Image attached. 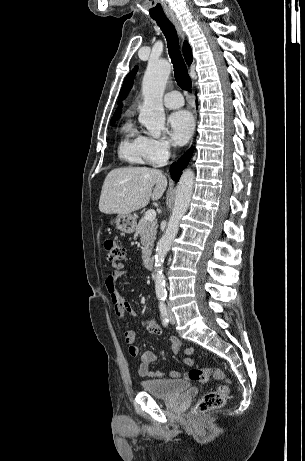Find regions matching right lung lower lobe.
<instances>
[{"label": "right lung lower lobe", "instance_id": "obj_1", "mask_svg": "<svg viewBox=\"0 0 305 461\" xmlns=\"http://www.w3.org/2000/svg\"><path fill=\"white\" fill-rule=\"evenodd\" d=\"M193 153V149H189L177 162H174L170 167L171 177L174 181H178L180 175L182 174V170L187 166L191 156Z\"/></svg>", "mask_w": 305, "mask_h": 461}]
</instances>
